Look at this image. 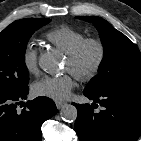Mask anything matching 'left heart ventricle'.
I'll use <instances>...</instances> for the list:
<instances>
[{"mask_svg": "<svg viewBox=\"0 0 141 141\" xmlns=\"http://www.w3.org/2000/svg\"><path fill=\"white\" fill-rule=\"evenodd\" d=\"M93 59H94V51L93 50H90L86 54L85 64H90L93 61ZM65 68H66V70H69L70 71L71 66H70V62H69L68 59L66 60Z\"/></svg>", "mask_w": 141, "mask_h": 141, "instance_id": "b2bd125f", "label": "left heart ventricle"}]
</instances>
